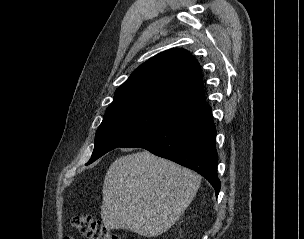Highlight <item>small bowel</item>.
<instances>
[{
  "mask_svg": "<svg viewBox=\"0 0 304 239\" xmlns=\"http://www.w3.org/2000/svg\"><path fill=\"white\" fill-rule=\"evenodd\" d=\"M64 239H74L73 237H65Z\"/></svg>",
  "mask_w": 304,
  "mask_h": 239,
  "instance_id": "obj_1",
  "label": "small bowel"
}]
</instances>
